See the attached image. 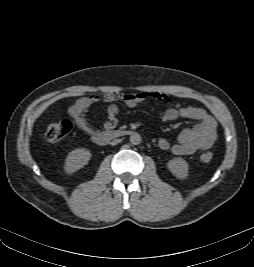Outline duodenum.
<instances>
[{
  "instance_id": "1",
  "label": "duodenum",
  "mask_w": 254,
  "mask_h": 267,
  "mask_svg": "<svg viewBox=\"0 0 254 267\" xmlns=\"http://www.w3.org/2000/svg\"><path fill=\"white\" fill-rule=\"evenodd\" d=\"M132 133L131 130H107L104 132L97 133L93 136V141L98 144V145H105L107 144L110 140L127 136Z\"/></svg>"
}]
</instances>
